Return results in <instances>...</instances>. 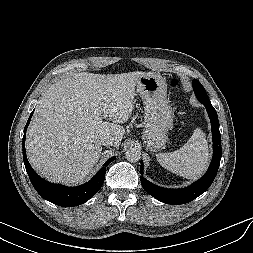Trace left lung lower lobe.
<instances>
[{"label":"left lung lower lobe","mask_w":253,"mask_h":253,"mask_svg":"<svg viewBox=\"0 0 253 253\" xmlns=\"http://www.w3.org/2000/svg\"><path fill=\"white\" fill-rule=\"evenodd\" d=\"M205 105L211 121L212 138H213V158L206 174L197 182L183 189H167L152 184L148 180L141 178L143 188L157 200L167 204H184L188 203L202 193H204L212 184L216 177L220 160H221V134L219 131V121L217 112L210 103ZM141 173H143V162H141Z\"/></svg>","instance_id":"left-lung-lower-lobe-1"}]
</instances>
